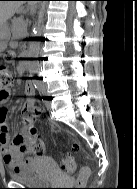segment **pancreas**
I'll list each match as a JSON object with an SVG mask.
<instances>
[{
  "instance_id": "obj_1",
  "label": "pancreas",
  "mask_w": 137,
  "mask_h": 189,
  "mask_svg": "<svg viewBox=\"0 0 137 189\" xmlns=\"http://www.w3.org/2000/svg\"><path fill=\"white\" fill-rule=\"evenodd\" d=\"M12 24L14 38H23L27 35V23L23 20L22 17L14 18Z\"/></svg>"
}]
</instances>
